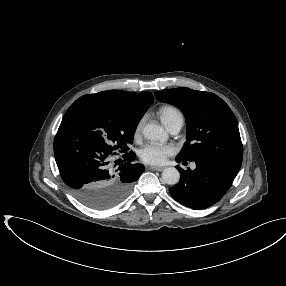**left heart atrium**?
<instances>
[{"instance_id":"left-heart-atrium-1","label":"left heart atrium","mask_w":286,"mask_h":286,"mask_svg":"<svg viewBox=\"0 0 286 286\" xmlns=\"http://www.w3.org/2000/svg\"><path fill=\"white\" fill-rule=\"evenodd\" d=\"M175 152V147L171 144L150 142L140 151V158L143 162L151 165L164 164L168 157Z\"/></svg>"}]
</instances>
